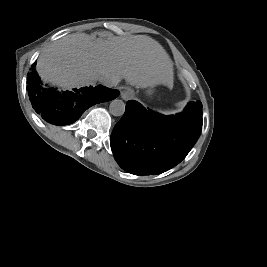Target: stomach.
Segmentation results:
<instances>
[{
  "label": "stomach",
  "mask_w": 267,
  "mask_h": 267,
  "mask_svg": "<svg viewBox=\"0 0 267 267\" xmlns=\"http://www.w3.org/2000/svg\"><path fill=\"white\" fill-rule=\"evenodd\" d=\"M147 93L150 95L153 93V87H149L148 90H147Z\"/></svg>",
  "instance_id": "obj_1"
}]
</instances>
